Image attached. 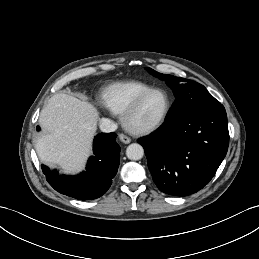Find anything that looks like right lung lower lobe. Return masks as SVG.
I'll return each mask as SVG.
<instances>
[{
  "instance_id": "98d812e1",
  "label": "right lung lower lobe",
  "mask_w": 259,
  "mask_h": 259,
  "mask_svg": "<svg viewBox=\"0 0 259 259\" xmlns=\"http://www.w3.org/2000/svg\"><path fill=\"white\" fill-rule=\"evenodd\" d=\"M37 130H40L37 127ZM115 133H100L93 143L94 156L90 157L87 172L79 176L59 175L42 165L49 184L59 193L80 199L90 200L102 196L112 184L120 163V147Z\"/></svg>"
}]
</instances>
